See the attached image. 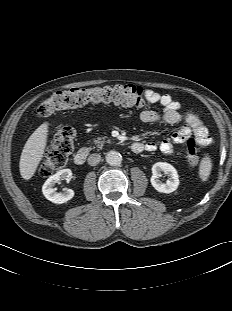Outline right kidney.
<instances>
[{"instance_id": "obj_1", "label": "right kidney", "mask_w": 232, "mask_h": 311, "mask_svg": "<svg viewBox=\"0 0 232 311\" xmlns=\"http://www.w3.org/2000/svg\"><path fill=\"white\" fill-rule=\"evenodd\" d=\"M72 179V172L70 169H63L56 174L50 176L42 187L43 195L51 202L62 204L72 199L74 191L72 189H65L63 192H56L54 185L61 181L66 180L69 182Z\"/></svg>"}]
</instances>
